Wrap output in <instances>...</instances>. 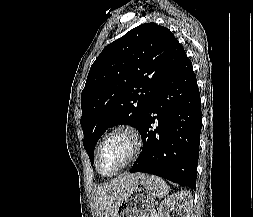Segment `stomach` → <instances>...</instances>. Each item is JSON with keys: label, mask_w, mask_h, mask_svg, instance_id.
Returning <instances> with one entry per match:
<instances>
[{"label": "stomach", "mask_w": 253, "mask_h": 217, "mask_svg": "<svg viewBox=\"0 0 253 217\" xmlns=\"http://www.w3.org/2000/svg\"><path fill=\"white\" fill-rule=\"evenodd\" d=\"M159 192V185L152 176L142 174L132 191L121 201L116 217H146Z\"/></svg>", "instance_id": "1"}]
</instances>
